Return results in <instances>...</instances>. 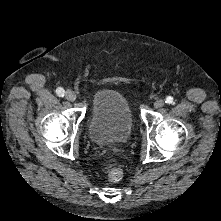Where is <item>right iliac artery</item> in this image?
<instances>
[{
    "label": "right iliac artery",
    "mask_w": 221,
    "mask_h": 221,
    "mask_svg": "<svg viewBox=\"0 0 221 221\" xmlns=\"http://www.w3.org/2000/svg\"><path fill=\"white\" fill-rule=\"evenodd\" d=\"M56 93L59 97H63L65 95V91L63 88L59 87L56 89Z\"/></svg>",
    "instance_id": "1"
}]
</instances>
